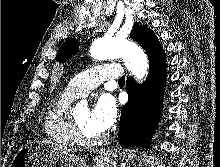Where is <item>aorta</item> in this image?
Returning a JSON list of instances; mask_svg holds the SVG:
<instances>
[{"label":"aorta","mask_w":220,"mask_h":167,"mask_svg":"<svg viewBox=\"0 0 220 167\" xmlns=\"http://www.w3.org/2000/svg\"><path fill=\"white\" fill-rule=\"evenodd\" d=\"M90 54L96 60L122 58L127 69L138 80H143L148 73L147 55L137 44L126 39H96L91 45Z\"/></svg>","instance_id":"1"}]
</instances>
